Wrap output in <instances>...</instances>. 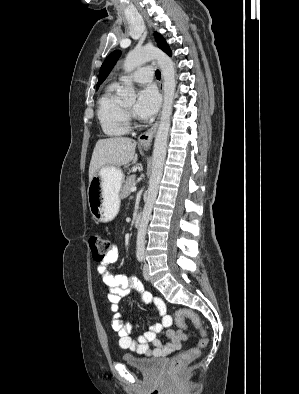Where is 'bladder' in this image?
<instances>
[{
	"mask_svg": "<svg viewBox=\"0 0 299 394\" xmlns=\"http://www.w3.org/2000/svg\"><path fill=\"white\" fill-rule=\"evenodd\" d=\"M121 360L128 366L145 374L154 372L161 363V360L158 358L137 356L130 353H124L121 356Z\"/></svg>",
	"mask_w": 299,
	"mask_h": 394,
	"instance_id": "1",
	"label": "bladder"
}]
</instances>
